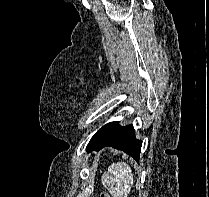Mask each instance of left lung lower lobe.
Segmentation results:
<instances>
[{
  "label": "left lung lower lobe",
  "instance_id": "left-lung-lower-lobe-1",
  "mask_svg": "<svg viewBox=\"0 0 209 197\" xmlns=\"http://www.w3.org/2000/svg\"><path fill=\"white\" fill-rule=\"evenodd\" d=\"M107 146L122 150L136 161H139L142 141L135 138L133 125L122 127L119 122H110L95 133L86 150L88 152L92 150L99 151Z\"/></svg>",
  "mask_w": 209,
  "mask_h": 197
}]
</instances>
